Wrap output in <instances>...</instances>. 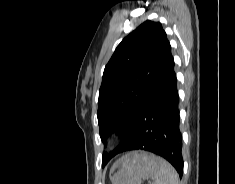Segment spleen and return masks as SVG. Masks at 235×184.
<instances>
[{
	"instance_id": "spleen-1",
	"label": "spleen",
	"mask_w": 235,
	"mask_h": 184,
	"mask_svg": "<svg viewBox=\"0 0 235 184\" xmlns=\"http://www.w3.org/2000/svg\"><path fill=\"white\" fill-rule=\"evenodd\" d=\"M158 162L159 168L154 176V184H179L175 168L163 158H158Z\"/></svg>"
}]
</instances>
